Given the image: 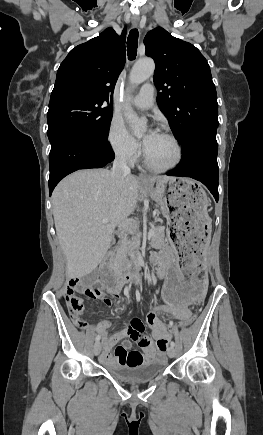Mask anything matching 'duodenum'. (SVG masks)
<instances>
[{
  "mask_svg": "<svg viewBox=\"0 0 263 435\" xmlns=\"http://www.w3.org/2000/svg\"><path fill=\"white\" fill-rule=\"evenodd\" d=\"M104 277L107 288L111 292H118L125 284L135 281V277L131 273L121 272L117 269L115 264V254L109 252L104 259Z\"/></svg>",
  "mask_w": 263,
  "mask_h": 435,
  "instance_id": "obj_1",
  "label": "duodenum"
}]
</instances>
